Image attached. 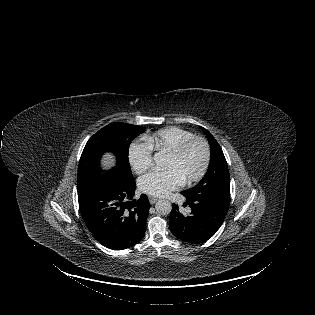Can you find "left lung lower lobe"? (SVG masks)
<instances>
[{
	"label": "left lung lower lobe",
	"instance_id": "1",
	"mask_svg": "<svg viewBox=\"0 0 315 315\" xmlns=\"http://www.w3.org/2000/svg\"><path fill=\"white\" fill-rule=\"evenodd\" d=\"M191 213L183 215L173 204L170 213V230L179 239L192 244L204 243L223 223L229 208V200L213 194L183 193Z\"/></svg>",
	"mask_w": 315,
	"mask_h": 315
}]
</instances>
